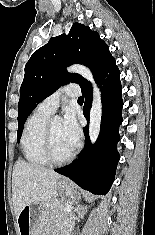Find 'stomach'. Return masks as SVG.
<instances>
[{"label":"stomach","instance_id":"stomach-1","mask_svg":"<svg viewBox=\"0 0 155 235\" xmlns=\"http://www.w3.org/2000/svg\"><path fill=\"white\" fill-rule=\"evenodd\" d=\"M61 198L69 203L79 199L75 186L66 180L58 183ZM45 203L37 202L26 205L17 218L19 235H39V225L44 217Z\"/></svg>","mask_w":155,"mask_h":235}]
</instances>
